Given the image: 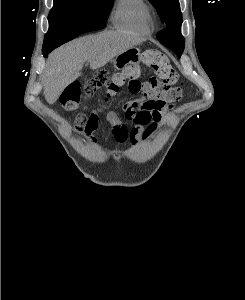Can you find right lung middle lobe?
<instances>
[{"label":"right lung middle lobe","instance_id":"right-lung-middle-lobe-1","mask_svg":"<svg viewBox=\"0 0 245 300\" xmlns=\"http://www.w3.org/2000/svg\"><path fill=\"white\" fill-rule=\"evenodd\" d=\"M113 0H54L49 13V31L43 48H53L83 33L82 26L91 20L105 23Z\"/></svg>","mask_w":245,"mask_h":300}]
</instances>
